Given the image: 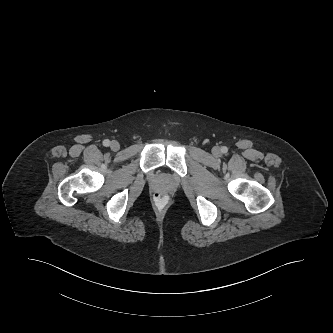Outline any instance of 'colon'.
I'll use <instances>...</instances> for the list:
<instances>
[{"label": "colon", "mask_w": 333, "mask_h": 333, "mask_svg": "<svg viewBox=\"0 0 333 333\" xmlns=\"http://www.w3.org/2000/svg\"><path fill=\"white\" fill-rule=\"evenodd\" d=\"M154 199L158 202H163L167 199V195L165 193H156Z\"/></svg>", "instance_id": "colon-1"}]
</instances>
